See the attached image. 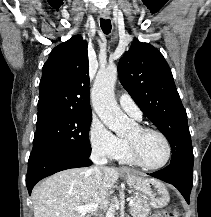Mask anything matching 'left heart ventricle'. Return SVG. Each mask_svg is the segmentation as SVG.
Returning <instances> with one entry per match:
<instances>
[{
  "label": "left heart ventricle",
  "mask_w": 211,
  "mask_h": 217,
  "mask_svg": "<svg viewBox=\"0 0 211 217\" xmlns=\"http://www.w3.org/2000/svg\"><path fill=\"white\" fill-rule=\"evenodd\" d=\"M128 139L135 142L142 160L148 165L161 164L167 155L163 139L156 133L140 134L138 128L128 135Z\"/></svg>",
  "instance_id": "obj_1"
}]
</instances>
